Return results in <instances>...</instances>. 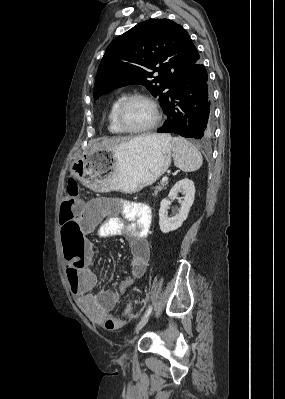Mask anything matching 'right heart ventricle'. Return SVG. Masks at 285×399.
<instances>
[{
    "instance_id": "1",
    "label": "right heart ventricle",
    "mask_w": 285,
    "mask_h": 399,
    "mask_svg": "<svg viewBox=\"0 0 285 399\" xmlns=\"http://www.w3.org/2000/svg\"><path fill=\"white\" fill-rule=\"evenodd\" d=\"M127 97L125 93L119 94L117 97H115L109 107L108 115H107V121H108V129L111 133L113 134H123L126 133L123 131L116 120V111L119 106V104Z\"/></svg>"
}]
</instances>
